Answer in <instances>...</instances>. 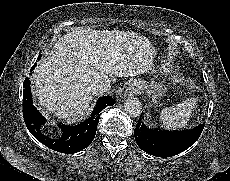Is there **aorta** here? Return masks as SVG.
<instances>
[{"mask_svg":"<svg viewBox=\"0 0 230 181\" xmlns=\"http://www.w3.org/2000/svg\"><path fill=\"white\" fill-rule=\"evenodd\" d=\"M124 110L127 114L138 117L142 113V103L136 97H129L124 102Z\"/></svg>","mask_w":230,"mask_h":181,"instance_id":"obj_1","label":"aorta"}]
</instances>
